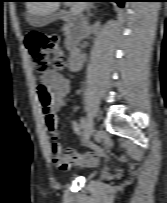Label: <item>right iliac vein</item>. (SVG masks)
<instances>
[{
	"mask_svg": "<svg viewBox=\"0 0 167 203\" xmlns=\"http://www.w3.org/2000/svg\"><path fill=\"white\" fill-rule=\"evenodd\" d=\"M94 132V122L92 118H89L87 121V127L84 131V140H88Z\"/></svg>",
	"mask_w": 167,
	"mask_h": 203,
	"instance_id": "obj_1",
	"label": "right iliac vein"
}]
</instances>
